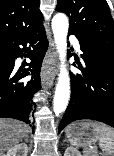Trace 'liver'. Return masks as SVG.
Here are the masks:
<instances>
[{
	"label": "liver",
	"instance_id": "1",
	"mask_svg": "<svg viewBox=\"0 0 114 156\" xmlns=\"http://www.w3.org/2000/svg\"><path fill=\"white\" fill-rule=\"evenodd\" d=\"M29 127L17 120L0 118V156L29 134Z\"/></svg>",
	"mask_w": 114,
	"mask_h": 156
}]
</instances>
